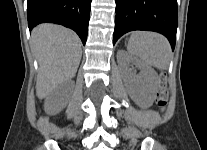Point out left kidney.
<instances>
[{"label":"left kidney","mask_w":207,"mask_h":150,"mask_svg":"<svg viewBox=\"0 0 207 150\" xmlns=\"http://www.w3.org/2000/svg\"><path fill=\"white\" fill-rule=\"evenodd\" d=\"M117 58L130 97L141 108L150 107L154 102L158 87V76L155 70L123 50L118 52ZM131 65L140 69L137 78L131 74L129 68ZM137 84L140 86L137 87Z\"/></svg>","instance_id":"1"}]
</instances>
